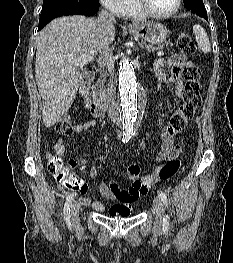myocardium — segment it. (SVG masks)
Here are the masks:
<instances>
[{
    "label": "myocardium",
    "mask_w": 233,
    "mask_h": 263,
    "mask_svg": "<svg viewBox=\"0 0 233 263\" xmlns=\"http://www.w3.org/2000/svg\"><path fill=\"white\" fill-rule=\"evenodd\" d=\"M134 3L136 5V7L144 14V16L156 18V19H165V18H169V17L175 15L179 11V9L181 7L182 0H176V4H175L174 8L171 11L166 12V13L154 12L147 5L146 0H134Z\"/></svg>",
    "instance_id": "obj_1"
}]
</instances>
